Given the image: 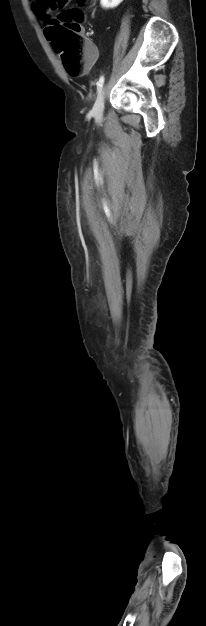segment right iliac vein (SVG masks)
I'll list each match as a JSON object with an SVG mask.
<instances>
[{"label": "right iliac vein", "mask_w": 206, "mask_h": 626, "mask_svg": "<svg viewBox=\"0 0 206 626\" xmlns=\"http://www.w3.org/2000/svg\"><path fill=\"white\" fill-rule=\"evenodd\" d=\"M103 109H104V89L101 88L99 91L98 97L96 99L94 108H93L94 115L97 119H100L102 117Z\"/></svg>", "instance_id": "obj_1"}]
</instances>
